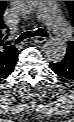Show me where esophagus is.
Wrapping results in <instances>:
<instances>
[{"label": "esophagus", "instance_id": "obj_1", "mask_svg": "<svg viewBox=\"0 0 74 122\" xmlns=\"http://www.w3.org/2000/svg\"><path fill=\"white\" fill-rule=\"evenodd\" d=\"M34 41H35L36 43H44V42L47 41V38H46V37L36 36V37H34Z\"/></svg>", "mask_w": 74, "mask_h": 122}]
</instances>
